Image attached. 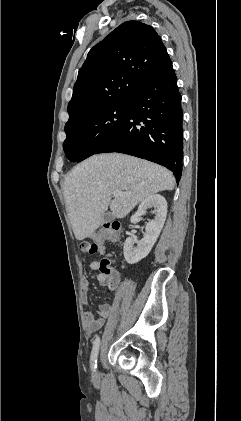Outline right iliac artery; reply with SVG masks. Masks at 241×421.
<instances>
[{
	"label": "right iliac artery",
	"mask_w": 241,
	"mask_h": 421,
	"mask_svg": "<svg viewBox=\"0 0 241 421\" xmlns=\"http://www.w3.org/2000/svg\"><path fill=\"white\" fill-rule=\"evenodd\" d=\"M99 346H100V338L99 336L96 337L94 343H93V348H92V352H91V368L93 370L96 369L97 367V356H98V352H99Z\"/></svg>",
	"instance_id": "obj_1"
}]
</instances>
